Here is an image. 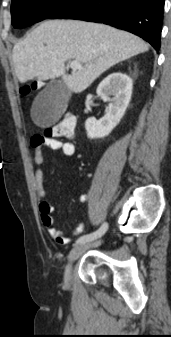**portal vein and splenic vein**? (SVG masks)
<instances>
[{"instance_id":"18ae733b","label":"portal vein and splenic vein","mask_w":171,"mask_h":337,"mask_svg":"<svg viewBox=\"0 0 171 337\" xmlns=\"http://www.w3.org/2000/svg\"><path fill=\"white\" fill-rule=\"evenodd\" d=\"M70 67L73 70H77V69H81L82 65L78 61L73 60L70 62Z\"/></svg>"}]
</instances>
